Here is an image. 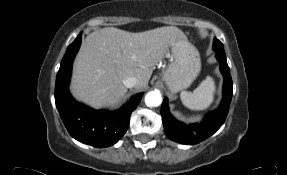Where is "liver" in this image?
Returning <instances> with one entry per match:
<instances>
[{
    "label": "liver",
    "instance_id": "1",
    "mask_svg": "<svg viewBox=\"0 0 287 175\" xmlns=\"http://www.w3.org/2000/svg\"><path fill=\"white\" fill-rule=\"evenodd\" d=\"M177 27L165 26L132 33L107 27L90 33L74 63L71 91L94 108L112 106L127 92L123 81L130 76L143 89L171 44L185 39Z\"/></svg>",
    "mask_w": 287,
    "mask_h": 175
}]
</instances>
